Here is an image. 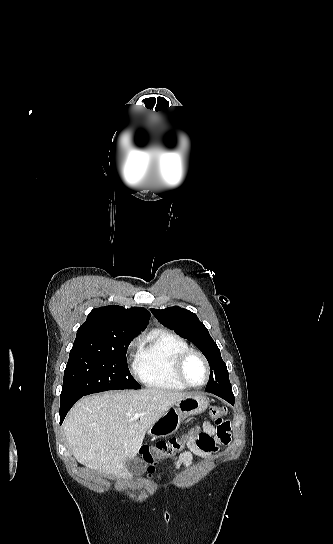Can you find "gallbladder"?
Listing matches in <instances>:
<instances>
[{"label":"gallbladder","mask_w":333,"mask_h":544,"mask_svg":"<svg viewBox=\"0 0 333 544\" xmlns=\"http://www.w3.org/2000/svg\"><path fill=\"white\" fill-rule=\"evenodd\" d=\"M127 469H129L133 474H142L145 470V466L142 462L137 461L134 458L128 459L125 463Z\"/></svg>","instance_id":"gallbladder-1"}]
</instances>
